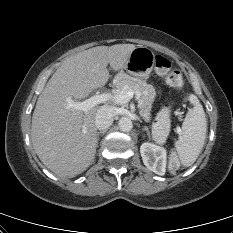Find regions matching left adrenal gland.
<instances>
[{"instance_id": "obj_1", "label": "left adrenal gland", "mask_w": 233, "mask_h": 233, "mask_svg": "<svg viewBox=\"0 0 233 233\" xmlns=\"http://www.w3.org/2000/svg\"><path fill=\"white\" fill-rule=\"evenodd\" d=\"M143 130L147 132V135H148V136H150V132H149L148 127H144Z\"/></svg>"}]
</instances>
